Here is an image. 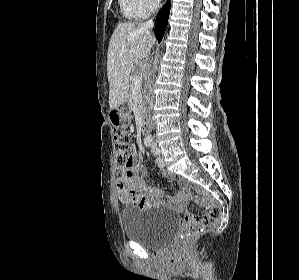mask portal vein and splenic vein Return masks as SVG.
<instances>
[{"label": "portal vein and splenic vein", "mask_w": 299, "mask_h": 280, "mask_svg": "<svg viewBox=\"0 0 299 280\" xmlns=\"http://www.w3.org/2000/svg\"><path fill=\"white\" fill-rule=\"evenodd\" d=\"M141 88V80L138 77H133L131 83V90L133 93H137Z\"/></svg>", "instance_id": "1"}]
</instances>
